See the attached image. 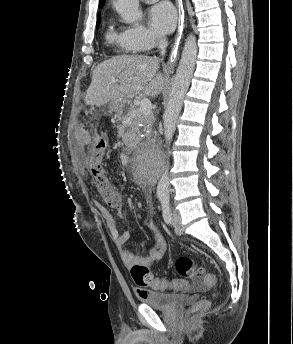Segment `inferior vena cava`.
<instances>
[{
    "mask_svg": "<svg viewBox=\"0 0 293 344\" xmlns=\"http://www.w3.org/2000/svg\"><path fill=\"white\" fill-rule=\"evenodd\" d=\"M157 42H158V48L160 49V54L163 56L166 52L168 41L166 37L162 35H157Z\"/></svg>",
    "mask_w": 293,
    "mask_h": 344,
    "instance_id": "inferior-vena-cava-1",
    "label": "inferior vena cava"
}]
</instances>
